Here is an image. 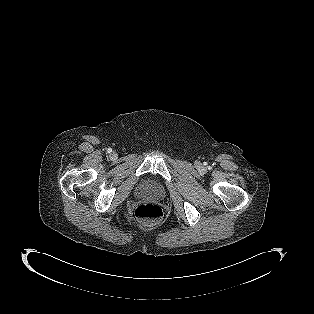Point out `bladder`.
Wrapping results in <instances>:
<instances>
[{
    "instance_id": "obj_1",
    "label": "bladder",
    "mask_w": 314,
    "mask_h": 314,
    "mask_svg": "<svg viewBox=\"0 0 314 314\" xmlns=\"http://www.w3.org/2000/svg\"><path fill=\"white\" fill-rule=\"evenodd\" d=\"M141 191L147 196L160 197L163 193V188L158 183L146 182L142 185Z\"/></svg>"
}]
</instances>
